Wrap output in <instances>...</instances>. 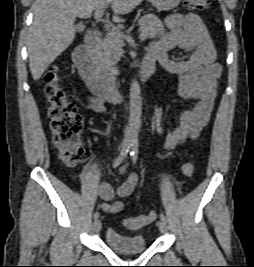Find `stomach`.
Wrapping results in <instances>:
<instances>
[{"instance_id":"stomach-1","label":"stomach","mask_w":254,"mask_h":267,"mask_svg":"<svg viewBox=\"0 0 254 267\" xmlns=\"http://www.w3.org/2000/svg\"><path fill=\"white\" fill-rule=\"evenodd\" d=\"M150 2L159 11H169L177 7L181 0H150Z\"/></svg>"}]
</instances>
